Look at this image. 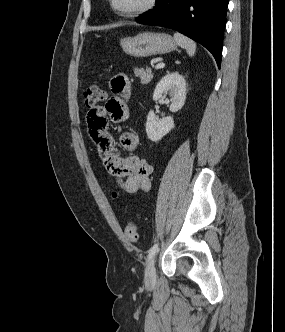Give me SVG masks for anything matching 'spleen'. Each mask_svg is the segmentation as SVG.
Returning <instances> with one entry per match:
<instances>
[{
  "instance_id": "3e777b00",
  "label": "spleen",
  "mask_w": 285,
  "mask_h": 332,
  "mask_svg": "<svg viewBox=\"0 0 285 332\" xmlns=\"http://www.w3.org/2000/svg\"><path fill=\"white\" fill-rule=\"evenodd\" d=\"M174 39L180 47L186 50L189 56H194L196 52V43L194 41L178 32L174 34Z\"/></svg>"
}]
</instances>
